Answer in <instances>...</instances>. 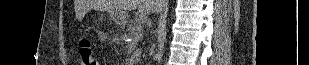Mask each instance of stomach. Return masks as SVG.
<instances>
[{
	"instance_id": "0dacf381",
	"label": "stomach",
	"mask_w": 309,
	"mask_h": 65,
	"mask_svg": "<svg viewBox=\"0 0 309 65\" xmlns=\"http://www.w3.org/2000/svg\"><path fill=\"white\" fill-rule=\"evenodd\" d=\"M111 17L117 24H125L128 19V15L124 11L113 12Z\"/></svg>"
}]
</instances>
